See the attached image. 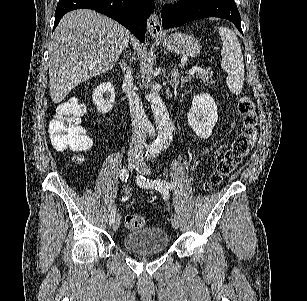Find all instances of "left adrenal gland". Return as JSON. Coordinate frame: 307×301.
<instances>
[{
	"instance_id": "1",
	"label": "left adrenal gland",
	"mask_w": 307,
	"mask_h": 301,
	"mask_svg": "<svg viewBox=\"0 0 307 301\" xmlns=\"http://www.w3.org/2000/svg\"><path fill=\"white\" fill-rule=\"evenodd\" d=\"M171 80L173 84H179L180 82V88H182L184 82H188V80H191L190 76H180L178 68L176 66H173L171 70Z\"/></svg>"
}]
</instances>
